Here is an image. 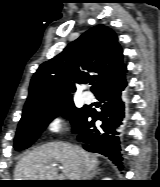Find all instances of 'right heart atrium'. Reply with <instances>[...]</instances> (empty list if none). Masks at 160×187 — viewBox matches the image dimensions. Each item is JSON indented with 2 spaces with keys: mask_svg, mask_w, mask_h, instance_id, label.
Instances as JSON below:
<instances>
[{
  "mask_svg": "<svg viewBox=\"0 0 160 187\" xmlns=\"http://www.w3.org/2000/svg\"><path fill=\"white\" fill-rule=\"evenodd\" d=\"M64 125V120L59 116H55L48 120L46 124V129L50 133H59L64 129Z\"/></svg>",
  "mask_w": 160,
  "mask_h": 187,
  "instance_id": "obj_1",
  "label": "right heart atrium"
}]
</instances>
